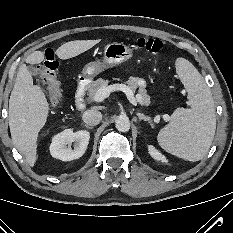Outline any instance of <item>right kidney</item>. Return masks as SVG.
Returning a JSON list of instances; mask_svg holds the SVG:
<instances>
[{
    "label": "right kidney",
    "instance_id": "right-kidney-1",
    "mask_svg": "<svg viewBox=\"0 0 233 233\" xmlns=\"http://www.w3.org/2000/svg\"><path fill=\"white\" fill-rule=\"evenodd\" d=\"M89 139L90 133L87 131L65 130L53 137L49 148L51 156L62 161L78 159L85 153ZM73 142L75 145L72 149L70 146Z\"/></svg>",
    "mask_w": 233,
    "mask_h": 233
}]
</instances>
